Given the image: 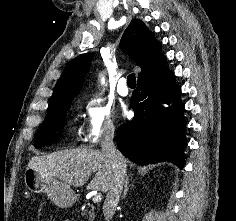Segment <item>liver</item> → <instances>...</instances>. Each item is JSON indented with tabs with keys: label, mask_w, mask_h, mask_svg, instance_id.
Masks as SVG:
<instances>
[{
	"label": "liver",
	"mask_w": 236,
	"mask_h": 221,
	"mask_svg": "<svg viewBox=\"0 0 236 221\" xmlns=\"http://www.w3.org/2000/svg\"><path fill=\"white\" fill-rule=\"evenodd\" d=\"M27 168L57 178L60 182L74 187L83 186L91 176L89 190L107 192L111 180V167L104 154L90 148H74L53 152L32 158Z\"/></svg>",
	"instance_id": "obj_1"
}]
</instances>
